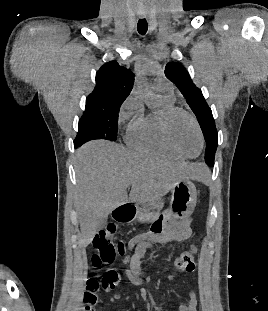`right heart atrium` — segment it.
Segmentation results:
<instances>
[{"instance_id": "obj_1", "label": "right heart atrium", "mask_w": 268, "mask_h": 311, "mask_svg": "<svg viewBox=\"0 0 268 311\" xmlns=\"http://www.w3.org/2000/svg\"><path fill=\"white\" fill-rule=\"evenodd\" d=\"M142 113V105L140 100L136 96H131L123 104L119 113V121L125 123L126 121L137 117Z\"/></svg>"}]
</instances>
